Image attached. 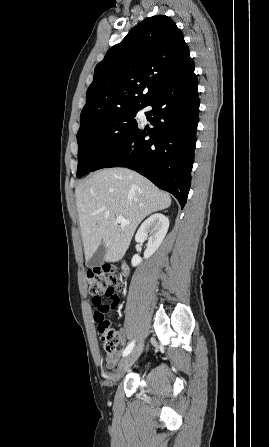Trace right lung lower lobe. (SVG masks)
<instances>
[{"instance_id": "1", "label": "right lung lower lobe", "mask_w": 269, "mask_h": 447, "mask_svg": "<svg viewBox=\"0 0 269 447\" xmlns=\"http://www.w3.org/2000/svg\"><path fill=\"white\" fill-rule=\"evenodd\" d=\"M197 87L192 61L177 78L145 101L144 107L153 108L145 115L154 127L149 130L137 128L93 171L108 167L130 168L173 194L183 208L190 189L196 147Z\"/></svg>"}]
</instances>
